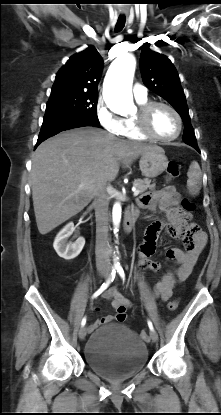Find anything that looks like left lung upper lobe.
Wrapping results in <instances>:
<instances>
[{
    "label": "left lung upper lobe",
    "mask_w": 221,
    "mask_h": 415,
    "mask_svg": "<svg viewBox=\"0 0 221 415\" xmlns=\"http://www.w3.org/2000/svg\"><path fill=\"white\" fill-rule=\"evenodd\" d=\"M140 69L145 86L164 98L180 114L185 126L183 141H196L180 79L168 57L151 51L146 45L142 48Z\"/></svg>",
    "instance_id": "left-lung-upper-lobe-1"
}]
</instances>
